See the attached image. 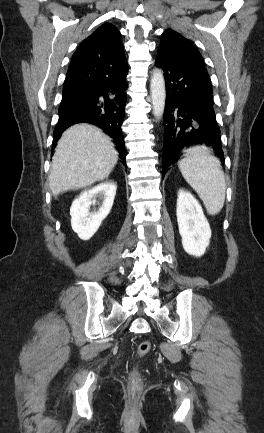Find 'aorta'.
I'll return each mask as SVG.
<instances>
[{"label":"aorta","instance_id":"aorta-1","mask_svg":"<svg viewBox=\"0 0 264 433\" xmlns=\"http://www.w3.org/2000/svg\"><path fill=\"white\" fill-rule=\"evenodd\" d=\"M151 100L153 106V115L156 120H160L165 108L166 89L163 72L155 69L151 76L150 82Z\"/></svg>","mask_w":264,"mask_h":433}]
</instances>
